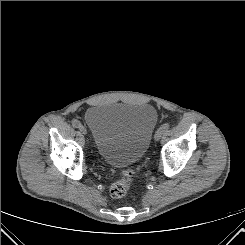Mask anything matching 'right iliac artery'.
<instances>
[{
	"instance_id": "1",
	"label": "right iliac artery",
	"mask_w": 245,
	"mask_h": 245,
	"mask_svg": "<svg viewBox=\"0 0 245 245\" xmlns=\"http://www.w3.org/2000/svg\"><path fill=\"white\" fill-rule=\"evenodd\" d=\"M72 125H73V127H75V128H79V127L81 126V124H80V122H79L78 120H73V121H72Z\"/></svg>"
}]
</instances>
